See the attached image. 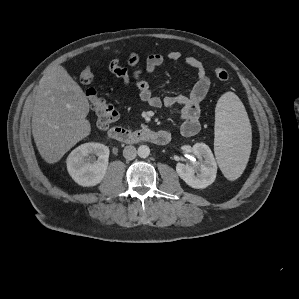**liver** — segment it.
Wrapping results in <instances>:
<instances>
[{"instance_id": "liver-1", "label": "liver", "mask_w": 299, "mask_h": 299, "mask_svg": "<svg viewBox=\"0 0 299 299\" xmlns=\"http://www.w3.org/2000/svg\"><path fill=\"white\" fill-rule=\"evenodd\" d=\"M89 102L64 67L47 68L41 78L32 114V134L41 157L58 162L91 132Z\"/></svg>"}]
</instances>
